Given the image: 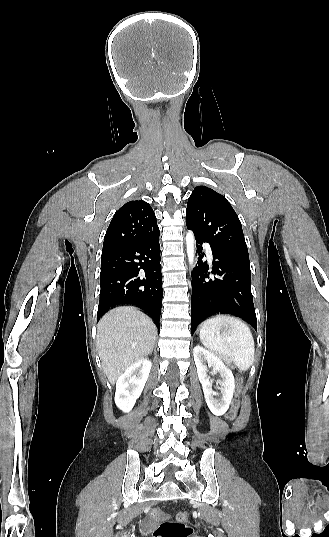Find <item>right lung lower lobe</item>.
Instances as JSON below:
<instances>
[{
	"mask_svg": "<svg viewBox=\"0 0 329 537\" xmlns=\"http://www.w3.org/2000/svg\"><path fill=\"white\" fill-rule=\"evenodd\" d=\"M159 246L157 230L132 245L102 252L97 321L116 305L132 304L159 328L163 296Z\"/></svg>",
	"mask_w": 329,
	"mask_h": 537,
	"instance_id": "1",
	"label": "right lung lower lobe"
}]
</instances>
